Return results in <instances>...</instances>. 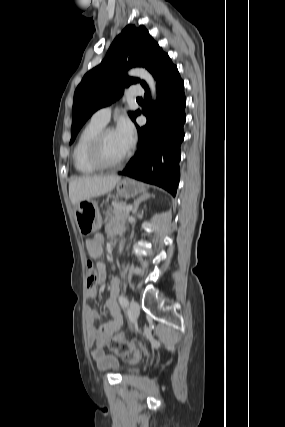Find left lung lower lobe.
<instances>
[{
  "label": "left lung lower lobe",
  "instance_id": "0a47b994",
  "mask_svg": "<svg viewBox=\"0 0 285 427\" xmlns=\"http://www.w3.org/2000/svg\"><path fill=\"white\" fill-rule=\"evenodd\" d=\"M153 76L157 81V101H151L146 85L142 113L147 117V123L141 128L137 126L138 151L119 174L158 185L175 196L186 118L184 83L168 55L159 63ZM140 114L138 111L136 117Z\"/></svg>",
  "mask_w": 285,
  "mask_h": 427
}]
</instances>
